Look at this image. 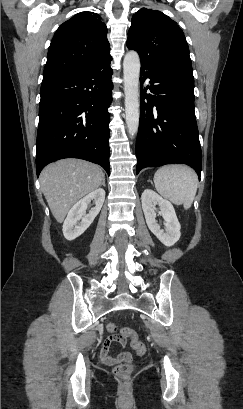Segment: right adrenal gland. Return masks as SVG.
<instances>
[{
  "label": "right adrenal gland",
  "instance_id": "right-adrenal-gland-1",
  "mask_svg": "<svg viewBox=\"0 0 243 409\" xmlns=\"http://www.w3.org/2000/svg\"><path fill=\"white\" fill-rule=\"evenodd\" d=\"M101 185H102V186H105V178L103 179Z\"/></svg>",
  "mask_w": 243,
  "mask_h": 409
}]
</instances>
